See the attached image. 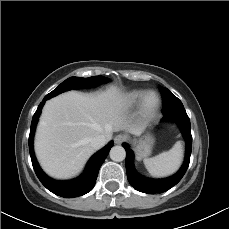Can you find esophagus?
Listing matches in <instances>:
<instances>
[{"instance_id": "esophagus-1", "label": "esophagus", "mask_w": 229, "mask_h": 229, "mask_svg": "<svg viewBox=\"0 0 229 229\" xmlns=\"http://www.w3.org/2000/svg\"><path fill=\"white\" fill-rule=\"evenodd\" d=\"M127 137L124 135V134H119L115 137V143L116 144H121L123 143L124 141H126Z\"/></svg>"}]
</instances>
